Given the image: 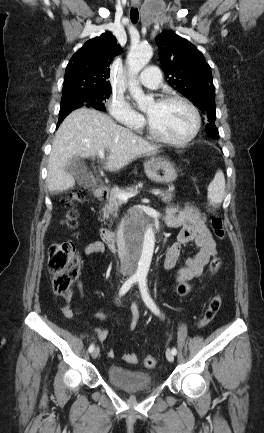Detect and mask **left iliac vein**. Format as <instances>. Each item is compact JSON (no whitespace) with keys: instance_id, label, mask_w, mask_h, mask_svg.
Returning <instances> with one entry per match:
<instances>
[{"instance_id":"4c4485c4","label":"left iliac vein","mask_w":264,"mask_h":433,"mask_svg":"<svg viewBox=\"0 0 264 433\" xmlns=\"http://www.w3.org/2000/svg\"><path fill=\"white\" fill-rule=\"evenodd\" d=\"M166 358L169 362H173L174 361V355L172 353V351L170 349L166 350Z\"/></svg>"}]
</instances>
